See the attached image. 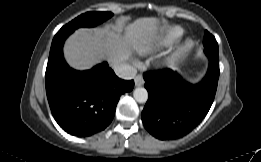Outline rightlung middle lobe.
I'll return each instance as SVG.
<instances>
[{
    "mask_svg": "<svg viewBox=\"0 0 261 162\" xmlns=\"http://www.w3.org/2000/svg\"><path fill=\"white\" fill-rule=\"evenodd\" d=\"M113 16V13L111 12H87L84 13L65 26H63L58 33H72L75 29L79 27H91V26H96L105 20L109 19L110 17Z\"/></svg>",
    "mask_w": 261,
    "mask_h": 162,
    "instance_id": "right-lung-middle-lobe-1",
    "label": "right lung middle lobe"
}]
</instances>
